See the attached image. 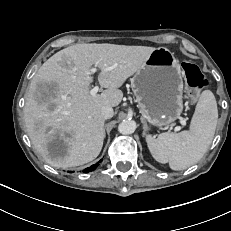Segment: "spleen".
Returning a JSON list of instances; mask_svg holds the SVG:
<instances>
[{"mask_svg": "<svg viewBox=\"0 0 231 231\" xmlns=\"http://www.w3.org/2000/svg\"><path fill=\"white\" fill-rule=\"evenodd\" d=\"M218 109L210 90L202 92L191 120L190 130L180 133L165 132L157 138L146 136L153 158L169 163L172 170H184L198 162L208 150L216 129Z\"/></svg>", "mask_w": 231, "mask_h": 231, "instance_id": "1", "label": "spleen"}]
</instances>
